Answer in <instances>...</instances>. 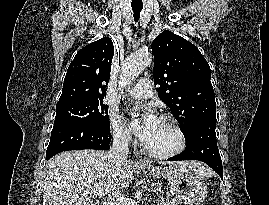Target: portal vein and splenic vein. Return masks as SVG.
<instances>
[{"label": "portal vein and splenic vein", "mask_w": 269, "mask_h": 205, "mask_svg": "<svg viewBox=\"0 0 269 205\" xmlns=\"http://www.w3.org/2000/svg\"><path fill=\"white\" fill-rule=\"evenodd\" d=\"M91 191L96 196H103L104 195V192L101 189H93Z\"/></svg>", "instance_id": "18ae733b"}]
</instances>
